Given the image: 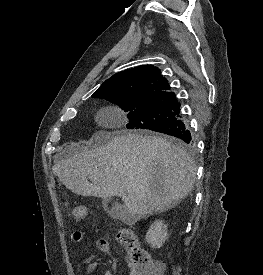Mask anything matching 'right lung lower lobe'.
I'll list each match as a JSON object with an SVG mask.
<instances>
[{"instance_id": "obj_1", "label": "right lung lower lobe", "mask_w": 263, "mask_h": 275, "mask_svg": "<svg viewBox=\"0 0 263 275\" xmlns=\"http://www.w3.org/2000/svg\"><path fill=\"white\" fill-rule=\"evenodd\" d=\"M154 131L176 137L188 144L192 143L191 134L187 130L181 117L167 125L156 128Z\"/></svg>"}]
</instances>
